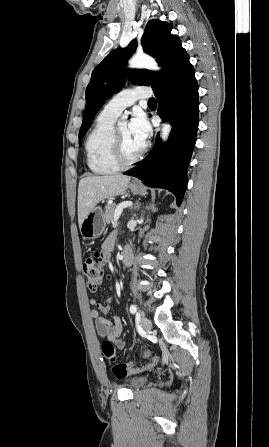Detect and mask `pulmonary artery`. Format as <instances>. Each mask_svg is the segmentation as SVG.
<instances>
[{
    "mask_svg": "<svg viewBox=\"0 0 269 447\" xmlns=\"http://www.w3.org/2000/svg\"><path fill=\"white\" fill-rule=\"evenodd\" d=\"M150 94L144 87L135 86L115 94L104 106V111L117 117L123 110L140 99L148 98Z\"/></svg>",
    "mask_w": 269,
    "mask_h": 447,
    "instance_id": "pulmonary-artery-1",
    "label": "pulmonary artery"
}]
</instances>
